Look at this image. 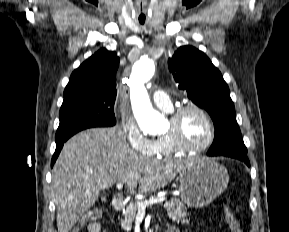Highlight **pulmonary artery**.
I'll list each match as a JSON object with an SVG mask.
<instances>
[{"label": "pulmonary artery", "mask_w": 289, "mask_h": 232, "mask_svg": "<svg viewBox=\"0 0 289 232\" xmlns=\"http://www.w3.org/2000/svg\"><path fill=\"white\" fill-rule=\"evenodd\" d=\"M152 99L154 104L160 109L170 110L172 108V102L170 100V97L162 90L155 91Z\"/></svg>", "instance_id": "1"}]
</instances>
